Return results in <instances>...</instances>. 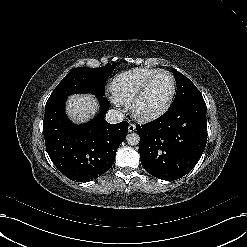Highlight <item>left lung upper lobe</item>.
Segmentation results:
<instances>
[{
	"label": "left lung upper lobe",
	"instance_id": "left-lung-upper-lobe-1",
	"mask_svg": "<svg viewBox=\"0 0 247 247\" xmlns=\"http://www.w3.org/2000/svg\"><path fill=\"white\" fill-rule=\"evenodd\" d=\"M173 74L176 80L177 92L170 108L181 105L191 98L201 95L196 86L186 76L178 72L176 69H173Z\"/></svg>",
	"mask_w": 247,
	"mask_h": 247
}]
</instances>
